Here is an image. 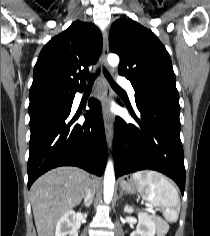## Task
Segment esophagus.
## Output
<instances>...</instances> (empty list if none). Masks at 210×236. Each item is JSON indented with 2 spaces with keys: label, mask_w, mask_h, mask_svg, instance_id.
Masks as SVG:
<instances>
[{
  "label": "esophagus",
  "mask_w": 210,
  "mask_h": 236,
  "mask_svg": "<svg viewBox=\"0 0 210 236\" xmlns=\"http://www.w3.org/2000/svg\"><path fill=\"white\" fill-rule=\"evenodd\" d=\"M109 52L108 45V35L107 32H103V50H102V63L105 67H107V56ZM109 99L108 88L106 81H103V92H102V108H103V120H104V128L105 135L108 148L112 147L113 142V130H112V117L108 113L107 102Z\"/></svg>",
  "instance_id": "esophagus-1"
}]
</instances>
